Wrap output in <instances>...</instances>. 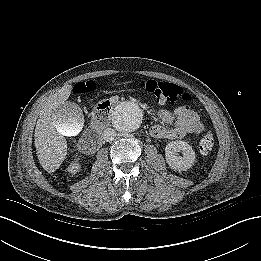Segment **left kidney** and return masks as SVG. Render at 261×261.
<instances>
[{
	"label": "left kidney",
	"mask_w": 261,
	"mask_h": 261,
	"mask_svg": "<svg viewBox=\"0 0 261 261\" xmlns=\"http://www.w3.org/2000/svg\"><path fill=\"white\" fill-rule=\"evenodd\" d=\"M182 153V156L179 155ZM165 158L170 168L176 171H186L196 161L192 147L185 141H171L165 147Z\"/></svg>",
	"instance_id": "1"
}]
</instances>
